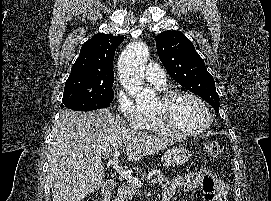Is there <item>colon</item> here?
<instances>
[{
    "instance_id": "5ec220e1",
    "label": "colon",
    "mask_w": 271,
    "mask_h": 201,
    "mask_svg": "<svg viewBox=\"0 0 271 201\" xmlns=\"http://www.w3.org/2000/svg\"><path fill=\"white\" fill-rule=\"evenodd\" d=\"M204 150L207 156L216 159L222 154L223 146L219 142L211 141L205 144ZM86 201H96V199L88 198Z\"/></svg>"
}]
</instances>
